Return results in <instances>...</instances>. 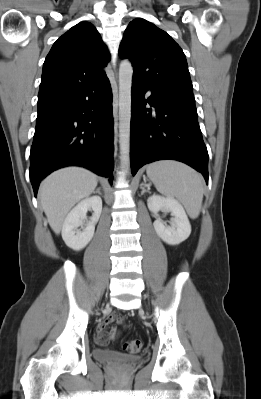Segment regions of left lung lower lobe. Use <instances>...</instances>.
Here are the masks:
<instances>
[{
  "label": "left lung lower lobe",
  "instance_id": "1",
  "mask_svg": "<svg viewBox=\"0 0 261 399\" xmlns=\"http://www.w3.org/2000/svg\"><path fill=\"white\" fill-rule=\"evenodd\" d=\"M132 80L130 161L134 176L143 165L164 159L184 162L208 184V152L197 120L194 96L152 90ZM155 110L146 108V105Z\"/></svg>",
  "mask_w": 261,
  "mask_h": 399
}]
</instances>
